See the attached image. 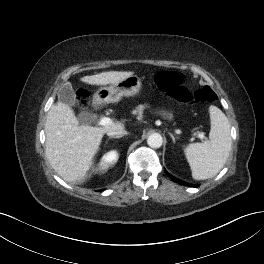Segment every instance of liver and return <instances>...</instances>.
Returning a JSON list of instances; mask_svg holds the SVG:
<instances>
[{
  "mask_svg": "<svg viewBox=\"0 0 264 264\" xmlns=\"http://www.w3.org/2000/svg\"><path fill=\"white\" fill-rule=\"evenodd\" d=\"M133 74L131 71H109L84 76L81 81L90 85H107ZM120 128H124L121 123L103 127L80 125L69 106L60 102L54 104L48 111L45 123L48 161L65 181L82 183L93 165L104 134Z\"/></svg>",
  "mask_w": 264,
  "mask_h": 264,
  "instance_id": "obj_1",
  "label": "liver"
}]
</instances>
